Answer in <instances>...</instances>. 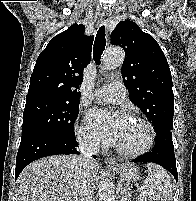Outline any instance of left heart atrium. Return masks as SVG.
I'll use <instances>...</instances> for the list:
<instances>
[{
    "label": "left heart atrium",
    "instance_id": "left-heart-atrium-1",
    "mask_svg": "<svg viewBox=\"0 0 196 201\" xmlns=\"http://www.w3.org/2000/svg\"><path fill=\"white\" fill-rule=\"evenodd\" d=\"M87 122L101 140L116 144L120 134L129 123V116L124 112H111L94 108L87 114Z\"/></svg>",
    "mask_w": 196,
    "mask_h": 201
}]
</instances>
